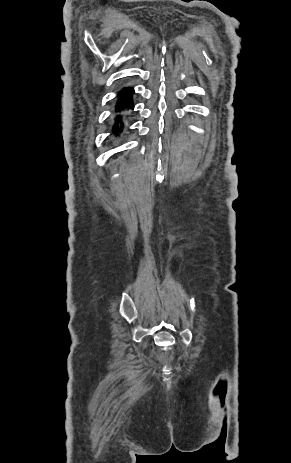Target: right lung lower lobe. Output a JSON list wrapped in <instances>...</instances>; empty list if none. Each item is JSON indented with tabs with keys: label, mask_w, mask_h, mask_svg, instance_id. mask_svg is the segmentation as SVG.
Returning <instances> with one entry per match:
<instances>
[{
	"label": "right lung lower lobe",
	"mask_w": 291,
	"mask_h": 463,
	"mask_svg": "<svg viewBox=\"0 0 291 463\" xmlns=\"http://www.w3.org/2000/svg\"><path fill=\"white\" fill-rule=\"evenodd\" d=\"M134 93L133 88H124L120 91L117 96V101L114 106L115 115L112 119L111 133L115 139L120 138L124 135L128 125V117L131 110L134 109L132 95Z\"/></svg>",
	"instance_id": "obj_1"
}]
</instances>
